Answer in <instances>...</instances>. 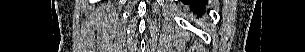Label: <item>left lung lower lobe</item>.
Listing matches in <instances>:
<instances>
[{"mask_svg":"<svg viewBox=\"0 0 305 52\" xmlns=\"http://www.w3.org/2000/svg\"><path fill=\"white\" fill-rule=\"evenodd\" d=\"M184 4H190V8L192 9H198L201 12L203 11L206 0H182Z\"/></svg>","mask_w":305,"mask_h":52,"instance_id":"0a47b994","label":"left lung lower lobe"}]
</instances>
